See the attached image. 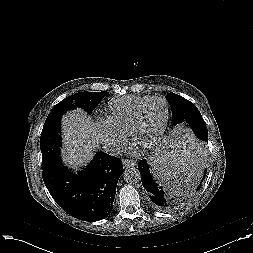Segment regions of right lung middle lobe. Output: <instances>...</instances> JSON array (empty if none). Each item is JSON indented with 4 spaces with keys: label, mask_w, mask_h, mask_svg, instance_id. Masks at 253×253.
I'll return each mask as SVG.
<instances>
[{
    "label": "right lung middle lobe",
    "mask_w": 253,
    "mask_h": 253,
    "mask_svg": "<svg viewBox=\"0 0 253 253\" xmlns=\"http://www.w3.org/2000/svg\"><path fill=\"white\" fill-rule=\"evenodd\" d=\"M108 92H79L59 102L48 115L40 138L42 163L59 158L61 146V118L68 110L82 108L88 114L97 107Z\"/></svg>",
    "instance_id": "obj_1"
}]
</instances>
